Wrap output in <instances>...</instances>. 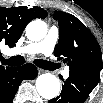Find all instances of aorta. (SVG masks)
<instances>
[{"mask_svg": "<svg viewBox=\"0 0 103 103\" xmlns=\"http://www.w3.org/2000/svg\"><path fill=\"white\" fill-rule=\"evenodd\" d=\"M47 34V25L41 20L31 21L26 27V36L31 41H40ZM36 89L39 95L47 100L59 95L60 81L50 73H45L37 77Z\"/></svg>", "mask_w": 103, "mask_h": 103, "instance_id": "762f6f07", "label": "aorta"}]
</instances>
